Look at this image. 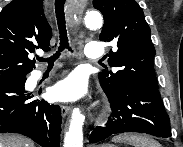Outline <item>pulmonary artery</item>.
Listing matches in <instances>:
<instances>
[{"instance_id":"pulmonary-artery-1","label":"pulmonary artery","mask_w":183,"mask_h":147,"mask_svg":"<svg viewBox=\"0 0 183 147\" xmlns=\"http://www.w3.org/2000/svg\"><path fill=\"white\" fill-rule=\"evenodd\" d=\"M84 54L91 59H99L103 56V48L100 43L90 42L84 48ZM43 74V71L38 70L35 73V77L39 78Z\"/></svg>"}]
</instances>
